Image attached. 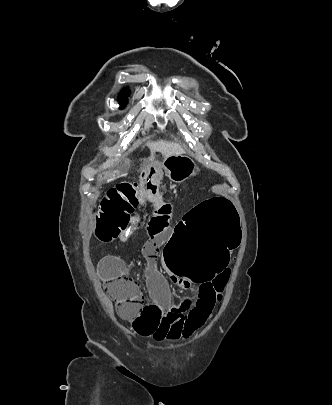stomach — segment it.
I'll return each instance as SVG.
<instances>
[{
    "label": "stomach",
    "mask_w": 332,
    "mask_h": 405,
    "mask_svg": "<svg viewBox=\"0 0 332 405\" xmlns=\"http://www.w3.org/2000/svg\"><path fill=\"white\" fill-rule=\"evenodd\" d=\"M162 168L171 181L180 183L191 176L199 174L200 169L195 162L185 155H170L165 158Z\"/></svg>",
    "instance_id": "1"
}]
</instances>
